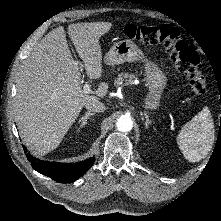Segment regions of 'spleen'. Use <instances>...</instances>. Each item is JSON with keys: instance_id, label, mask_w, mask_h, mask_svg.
I'll list each match as a JSON object with an SVG mask.
<instances>
[{"instance_id": "3e777b00", "label": "spleen", "mask_w": 221, "mask_h": 221, "mask_svg": "<svg viewBox=\"0 0 221 221\" xmlns=\"http://www.w3.org/2000/svg\"><path fill=\"white\" fill-rule=\"evenodd\" d=\"M215 141L214 123L208 107H204L188 123L177 136V143L190 162H198L205 158Z\"/></svg>"}]
</instances>
